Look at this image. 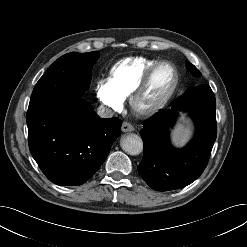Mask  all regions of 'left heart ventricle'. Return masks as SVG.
Here are the masks:
<instances>
[{"label":"left heart ventricle","instance_id":"b2bd125f","mask_svg":"<svg viewBox=\"0 0 247 247\" xmlns=\"http://www.w3.org/2000/svg\"><path fill=\"white\" fill-rule=\"evenodd\" d=\"M173 80L174 73L170 66L163 65L158 68L152 75L150 82L139 101V107L141 109H146L155 105L168 92Z\"/></svg>","mask_w":247,"mask_h":247}]
</instances>
